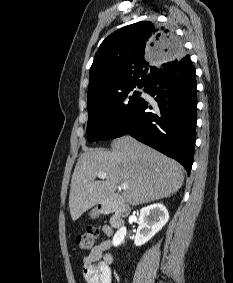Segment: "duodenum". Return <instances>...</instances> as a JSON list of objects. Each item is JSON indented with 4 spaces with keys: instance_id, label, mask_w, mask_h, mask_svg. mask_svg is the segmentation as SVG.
<instances>
[{
    "instance_id": "410a0bca",
    "label": "duodenum",
    "mask_w": 233,
    "mask_h": 283,
    "mask_svg": "<svg viewBox=\"0 0 233 283\" xmlns=\"http://www.w3.org/2000/svg\"><path fill=\"white\" fill-rule=\"evenodd\" d=\"M101 212L110 214V225L114 229L121 228L124 225L125 218L129 215L130 209L123 202L120 196H112L101 206Z\"/></svg>"
}]
</instances>
